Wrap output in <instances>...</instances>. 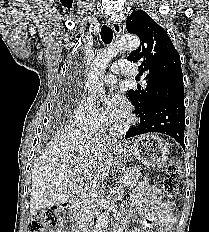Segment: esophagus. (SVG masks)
<instances>
[{
  "label": "esophagus",
  "instance_id": "obj_1",
  "mask_svg": "<svg viewBox=\"0 0 209 232\" xmlns=\"http://www.w3.org/2000/svg\"><path fill=\"white\" fill-rule=\"evenodd\" d=\"M107 24L108 26H110L113 31L117 34V35H120L121 34V27L119 25V23H117L116 21H113V20H107Z\"/></svg>",
  "mask_w": 209,
  "mask_h": 232
}]
</instances>
